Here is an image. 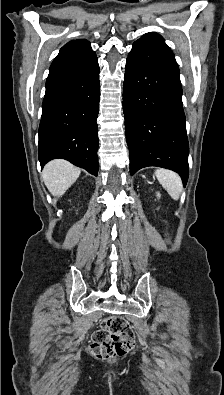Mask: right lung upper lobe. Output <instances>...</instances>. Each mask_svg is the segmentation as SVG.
<instances>
[{
  "mask_svg": "<svg viewBox=\"0 0 224 395\" xmlns=\"http://www.w3.org/2000/svg\"><path fill=\"white\" fill-rule=\"evenodd\" d=\"M82 46H84L85 48H91L90 44L87 40H77Z\"/></svg>",
  "mask_w": 224,
  "mask_h": 395,
  "instance_id": "right-lung-upper-lobe-1",
  "label": "right lung upper lobe"
}]
</instances>
